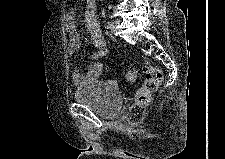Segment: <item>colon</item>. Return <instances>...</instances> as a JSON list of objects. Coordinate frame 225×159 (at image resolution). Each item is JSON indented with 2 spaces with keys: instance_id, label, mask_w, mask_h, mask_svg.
<instances>
[{
  "instance_id": "colon-1",
  "label": "colon",
  "mask_w": 225,
  "mask_h": 159,
  "mask_svg": "<svg viewBox=\"0 0 225 159\" xmlns=\"http://www.w3.org/2000/svg\"><path fill=\"white\" fill-rule=\"evenodd\" d=\"M142 71L145 75V80L136 89L134 104L127 114V120L133 124L138 123L142 119L145 110L150 104L153 92L157 90L162 81V72L160 68L147 64L143 67ZM125 74L128 82L133 83L137 80L138 71L135 68H129Z\"/></svg>"
}]
</instances>
